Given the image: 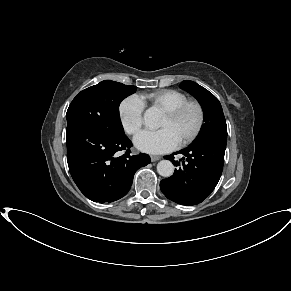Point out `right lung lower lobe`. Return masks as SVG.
Listing matches in <instances>:
<instances>
[{
    "instance_id": "obj_1",
    "label": "right lung lower lobe",
    "mask_w": 291,
    "mask_h": 291,
    "mask_svg": "<svg viewBox=\"0 0 291 291\" xmlns=\"http://www.w3.org/2000/svg\"><path fill=\"white\" fill-rule=\"evenodd\" d=\"M67 162L80 191L94 202H113L127 194L135 172L150 163L147 154L130 155L123 133L102 134L81 126L66 129ZM126 150L118 156V151Z\"/></svg>"
}]
</instances>
